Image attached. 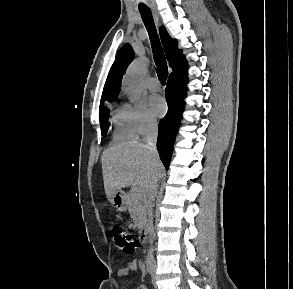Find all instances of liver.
<instances>
[{"label":"liver","mask_w":293,"mask_h":289,"mask_svg":"<svg viewBox=\"0 0 293 289\" xmlns=\"http://www.w3.org/2000/svg\"><path fill=\"white\" fill-rule=\"evenodd\" d=\"M102 173L108 199L121 188L139 186L149 193L157 176L163 173L161 162L155 163L146 145L136 140L122 142L102 153Z\"/></svg>","instance_id":"obj_1"}]
</instances>
